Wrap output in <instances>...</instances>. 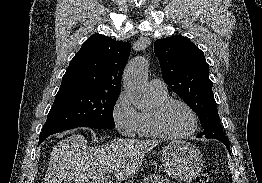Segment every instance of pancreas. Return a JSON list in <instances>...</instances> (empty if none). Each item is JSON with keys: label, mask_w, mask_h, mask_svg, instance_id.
<instances>
[{"label": "pancreas", "mask_w": 262, "mask_h": 183, "mask_svg": "<svg viewBox=\"0 0 262 183\" xmlns=\"http://www.w3.org/2000/svg\"><path fill=\"white\" fill-rule=\"evenodd\" d=\"M141 183H175L171 182L170 179L163 177L161 175H149L143 179Z\"/></svg>", "instance_id": "pancreas-1"}]
</instances>
